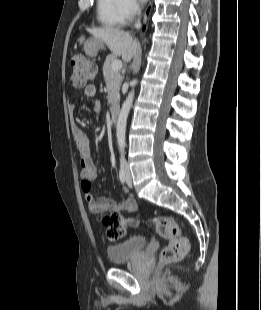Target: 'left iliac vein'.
I'll use <instances>...</instances> for the list:
<instances>
[{
	"mask_svg": "<svg viewBox=\"0 0 261 310\" xmlns=\"http://www.w3.org/2000/svg\"><path fill=\"white\" fill-rule=\"evenodd\" d=\"M126 182L129 187H132V177L128 167H126Z\"/></svg>",
	"mask_w": 261,
	"mask_h": 310,
	"instance_id": "1",
	"label": "left iliac vein"
}]
</instances>
